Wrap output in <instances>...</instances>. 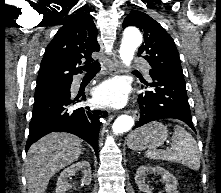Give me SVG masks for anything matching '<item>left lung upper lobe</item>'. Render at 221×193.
Returning <instances> with one entry per match:
<instances>
[{"instance_id": "5c2ea615", "label": "left lung upper lobe", "mask_w": 221, "mask_h": 193, "mask_svg": "<svg viewBox=\"0 0 221 193\" xmlns=\"http://www.w3.org/2000/svg\"><path fill=\"white\" fill-rule=\"evenodd\" d=\"M136 26L144 33V43L138 56L146 59L150 73H164L183 77L180 57L174 40L165 29L146 13L131 11L124 19L122 27Z\"/></svg>"}]
</instances>
